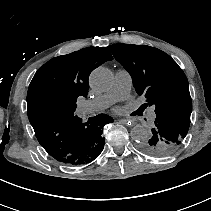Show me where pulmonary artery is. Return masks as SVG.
I'll return each mask as SVG.
<instances>
[{"mask_svg": "<svg viewBox=\"0 0 211 211\" xmlns=\"http://www.w3.org/2000/svg\"><path fill=\"white\" fill-rule=\"evenodd\" d=\"M132 87V77L127 70H118L115 74V81L112 89L94 100L85 101L78 105L81 113H94L108 108L116 100L125 98ZM146 117L150 121H155L159 117V112L155 108H150L146 112Z\"/></svg>", "mask_w": 211, "mask_h": 211, "instance_id": "e3ab8cb5", "label": "pulmonary artery"}]
</instances>
